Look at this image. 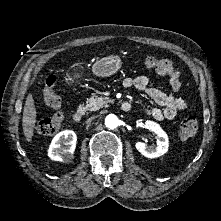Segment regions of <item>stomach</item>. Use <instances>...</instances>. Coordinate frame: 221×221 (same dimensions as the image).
Returning <instances> with one entry per match:
<instances>
[{"mask_svg":"<svg viewBox=\"0 0 221 221\" xmlns=\"http://www.w3.org/2000/svg\"><path fill=\"white\" fill-rule=\"evenodd\" d=\"M122 66L121 59L118 55H110L96 61L92 67L94 75L98 77H108L115 74ZM82 73L73 74V79L80 78Z\"/></svg>","mask_w":221,"mask_h":221,"instance_id":"stomach-1","label":"stomach"}]
</instances>
